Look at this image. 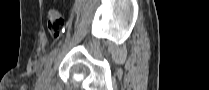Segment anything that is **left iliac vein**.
Instances as JSON below:
<instances>
[{"mask_svg": "<svg viewBox=\"0 0 209 90\" xmlns=\"http://www.w3.org/2000/svg\"><path fill=\"white\" fill-rule=\"evenodd\" d=\"M53 74V70L51 69L49 71V73L47 75H45L42 79H41V85L42 86H49V82H50V79H51V75Z\"/></svg>", "mask_w": 209, "mask_h": 90, "instance_id": "left-iliac-vein-1", "label": "left iliac vein"}]
</instances>
